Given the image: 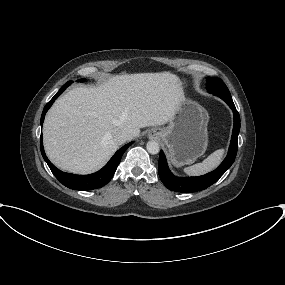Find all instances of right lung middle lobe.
Segmentation results:
<instances>
[{
    "label": "right lung middle lobe",
    "mask_w": 285,
    "mask_h": 285,
    "mask_svg": "<svg viewBox=\"0 0 285 285\" xmlns=\"http://www.w3.org/2000/svg\"><path fill=\"white\" fill-rule=\"evenodd\" d=\"M79 81L83 82V81H85V79H80ZM68 83L71 84V81H69Z\"/></svg>",
    "instance_id": "obj_1"
}]
</instances>
